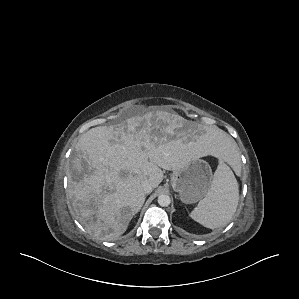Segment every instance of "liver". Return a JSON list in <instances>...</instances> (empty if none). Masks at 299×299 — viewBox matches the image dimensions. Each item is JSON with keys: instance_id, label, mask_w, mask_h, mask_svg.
<instances>
[{"instance_id": "obj_1", "label": "liver", "mask_w": 299, "mask_h": 299, "mask_svg": "<svg viewBox=\"0 0 299 299\" xmlns=\"http://www.w3.org/2000/svg\"><path fill=\"white\" fill-rule=\"evenodd\" d=\"M185 125L181 116L157 111L81 135L68 172V192L76 219L88 233L117 239L143 206L142 181L156 188L162 169L177 171L207 155L220 158L234 145L220 129L192 135ZM74 171L84 172L79 181Z\"/></svg>"}]
</instances>
